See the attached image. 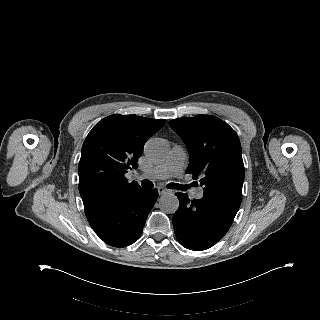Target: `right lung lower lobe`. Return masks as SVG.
<instances>
[{"mask_svg":"<svg viewBox=\"0 0 320 320\" xmlns=\"http://www.w3.org/2000/svg\"><path fill=\"white\" fill-rule=\"evenodd\" d=\"M157 197L156 189L139 188L120 200L86 213V217L105 243L126 247L141 235Z\"/></svg>","mask_w":320,"mask_h":320,"instance_id":"obj_1","label":"right lung lower lobe"}]
</instances>
